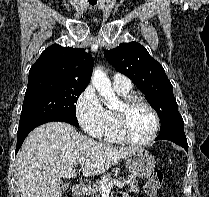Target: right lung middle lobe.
Listing matches in <instances>:
<instances>
[{
  "label": "right lung middle lobe",
  "mask_w": 209,
  "mask_h": 197,
  "mask_svg": "<svg viewBox=\"0 0 209 197\" xmlns=\"http://www.w3.org/2000/svg\"><path fill=\"white\" fill-rule=\"evenodd\" d=\"M86 87L72 82H28L19 126L51 117L66 119L78 126L75 104Z\"/></svg>",
  "instance_id": "dd1d6c3e"
}]
</instances>
